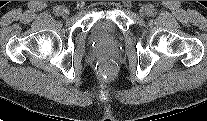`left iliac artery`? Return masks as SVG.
<instances>
[{"label": "left iliac artery", "mask_w": 207, "mask_h": 121, "mask_svg": "<svg viewBox=\"0 0 207 121\" xmlns=\"http://www.w3.org/2000/svg\"><path fill=\"white\" fill-rule=\"evenodd\" d=\"M149 14L150 15H154L155 14V9L153 8V6L149 7Z\"/></svg>", "instance_id": "obj_1"}]
</instances>
